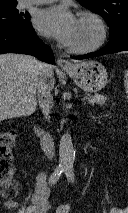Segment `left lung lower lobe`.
I'll return each instance as SVG.
<instances>
[{"instance_id": "1", "label": "left lung lower lobe", "mask_w": 128, "mask_h": 213, "mask_svg": "<svg viewBox=\"0 0 128 213\" xmlns=\"http://www.w3.org/2000/svg\"><path fill=\"white\" fill-rule=\"evenodd\" d=\"M128 50V29H124L115 36H111L109 43L100 50L89 53L83 56H72L74 59H86L91 57L100 56L103 54L117 53L120 51Z\"/></svg>"}]
</instances>
